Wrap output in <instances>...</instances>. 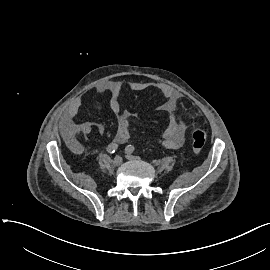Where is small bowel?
<instances>
[{
    "label": "small bowel",
    "instance_id": "1",
    "mask_svg": "<svg viewBox=\"0 0 270 270\" xmlns=\"http://www.w3.org/2000/svg\"><path fill=\"white\" fill-rule=\"evenodd\" d=\"M123 85L120 82L110 81L100 85L97 88L98 93H108V107L115 115L117 121V132L114 141L118 144L125 143L130 138V120L131 113L123 110L120 104V94ZM133 91L145 89H154L161 93L166 101L160 106V110L168 114L167 127L161 134L160 143L168 149H179L185 139L187 131V121L185 119H176L173 115L179 108L180 94L173 88L162 83L154 82H137L130 85ZM81 106V100H75L65 114L63 133L68 139H73L77 134L88 135L95 128L99 134L106 132V127L102 122H93L89 120H78Z\"/></svg>",
    "mask_w": 270,
    "mask_h": 270
}]
</instances>
